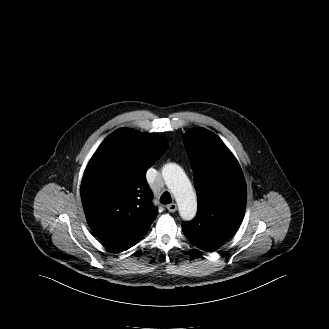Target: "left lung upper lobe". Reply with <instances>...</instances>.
Wrapping results in <instances>:
<instances>
[{"instance_id":"obj_1","label":"left lung upper lobe","mask_w":329,"mask_h":329,"mask_svg":"<svg viewBox=\"0 0 329 329\" xmlns=\"http://www.w3.org/2000/svg\"><path fill=\"white\" fill-rule=\"evenodd\" d=\"M183 138L198 196L195 219L182 223L185 236L193 243L233 235L243 220L247 197L239 163L209 130L195 128Z\"/></svg>"}]
</instances>
